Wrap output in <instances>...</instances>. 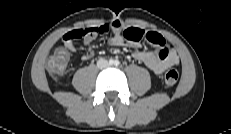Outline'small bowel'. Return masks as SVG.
I'll return each mask as SVG.
<instances>
[{"instance_id": "obj_1", "label": "small bowel", "mask_w": 231, "mask_h": 134, "mask_svg": "<svg viewBox=\"0 0 231 134\" xmlns=\"http://www.w3.org/2000/svg\"><path fill=\"white\" fill-rule=\"evenodd\" d=\"M110 31L112 35L108 39V45L112 47L137 45L143 38L153 45L155 47L154 51L135 50L132 56L155 74H161L166 69L179 63L177 52L167 43L162 35L153 31L146 32L138 27L130 26L124 28L117 20L98 27L69 31L63 36V42L66 48L76 51L74 44L76 39L83 38L84 44L89 46L99 35ZM93 55L92 51H87L81 55V59L86 61L91 59Z\"/></svg>"}]
</instances>
